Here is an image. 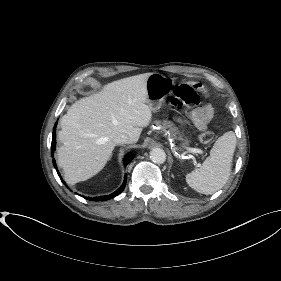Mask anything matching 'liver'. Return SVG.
<instances>
[{
  "mask_svg": "<svg viewBox=\"0 0 281 281\" xmlns=\"http://www.w3.org/2000/svg\"><path fill=\"white\" fill-rule=\"evenodd\" d=\"M150 73L113 81L92 96L75 102L61 119L58 164L68 184L100 172L112 155L113 138L126 134L136 143L152 119L146 82Z\"/></svg>",
  "mask_w": 281,
  "mask_h": 281,
  "instance_id": "1",
  "label": "liver"
}]
</instances>
